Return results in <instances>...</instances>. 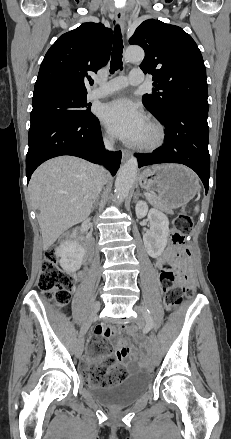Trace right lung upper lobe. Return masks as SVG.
<instances>
[{
	"label": "right lung upper lobe",
	"instance_id": "1",
	"mask_svg": "<svg viewBox=\"0 0 231 439\" xmlns=\"http://www.w3.org/2000/svg\"><path fill=\"white\" fill-rule=\"evenodd\" d=\"M112 47V30L88 22L61 35L47 51L35 83L33 98L50 93L87 94L89 72L106 65Z\"/></svg>",
	"mask_w": 231,
	"mask_h": 439
}]
</instances>
